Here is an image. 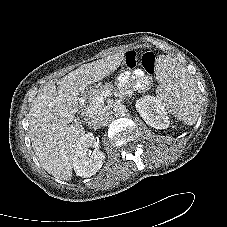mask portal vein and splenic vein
I'll return each instance as SVG.
<instances>
[{
	"mask_svg": "<svg viewBox=\"0 0 227 227\" xmlns=\"http://www.w3.org/2000/svg\"><path fill=\"white\" fill-rule=\"evenodd\" d=\"M110 95L109 91L103 92L99 96L95 98V101L93 103V106L90 108V111H94L96 108L100 107L104 103V98Z\"/></svg>",
	"mask_w": 227,
	"mask_h": 227,
	"instance_id": "18ae733b",
	"label": "portal vein and splenic vein"
}]
</instances>
